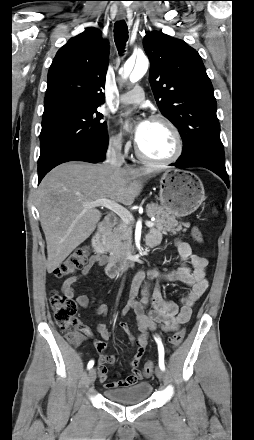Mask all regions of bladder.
Wrapping results in <instances>:
<instances>
[{"label":"bladder","mask_w":254,"mask_h":440,"mask_svg":"<svg viewBox=\"0 0 254 440\" xmlns=\"http://www.w3.org/2000/svg\"><path fill=\"white\" fill-rule=\"evenodd\" d=\"M153 387L150 382L142 381L126 387L108 389L105 396L120 403H138L145 401L152 393Z\"/></svg>","instance_id":"31cf9c89"}]
</instances>
